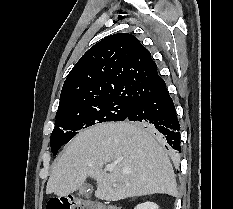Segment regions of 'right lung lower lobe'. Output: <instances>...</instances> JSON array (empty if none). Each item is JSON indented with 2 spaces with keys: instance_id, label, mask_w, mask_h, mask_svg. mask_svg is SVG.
<instances>
[{
  "instance_id": "98d812e1",
  "label": "right lung lower lobe",
  "mask_w": 233,
  "mask_h": 209,
  "mask_svg": "<svg viewBox=\"0 0 233 209\" xmlns=\"http://www.w3.org/2000/svg\"><path fill=\"white\" fill-rule=\"evenodd\" d=\"M126 120L150 126L155 134L158 132L163 134L167 143L181 152L180 125L166 86L153 96L138 102Z\"/></svg>"
}]
</instances>
